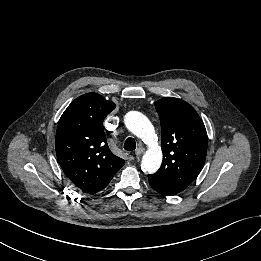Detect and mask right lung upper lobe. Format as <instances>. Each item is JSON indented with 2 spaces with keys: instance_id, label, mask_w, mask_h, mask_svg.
Here are the masks:
<instances>
[{
  "instance_id": "1",
  "label": "right lung upper lobe",
  "mask_w": 261,
  "mask_h": 261,
  "mask_svg": "<svg viewBox=\"0 0 261 261\" xmlns=\"http://www.w3.org/2000/svg\"><path fill=\"white\" fill-rule=\"evenodd\" d=\"M114 108L101 95L87 93L76 98L59 120L55 138L58 163L84 193L104 189L125 164L110 151L103 128Z\"/></svg>"
}]
</instances>
